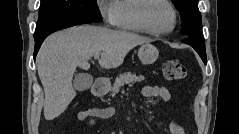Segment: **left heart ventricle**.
Returning <instances> with one entry per match:
<instances>
[{
    "instance_id": "1",
    "label": "left heart ventricle",
    "mask_w": 239,
    "mask_h": 134,
    "mask_svg": "<svg viewBox=\"0 0 239 134\" xmlns=\"http://www.w3.org/2000/svg\"><path fill=\"white\" fill-rule=\"evenodd\" d=\"M147 19L153 30L165 31L171 27L173 16L166 4L161 1H154L148 8Z\"/></svg>"
}]
</instances>
